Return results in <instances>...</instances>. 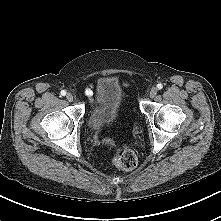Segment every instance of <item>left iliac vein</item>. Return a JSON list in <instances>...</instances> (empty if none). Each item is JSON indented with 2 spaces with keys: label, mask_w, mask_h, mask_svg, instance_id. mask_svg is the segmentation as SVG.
<instances>
[{
  "label": "left iliac vein",
  "mask_w": 221,
  "mask_h": 221,
  "mask_svg": "<svg viewBox=\"0 0 221 221\" xmlns=\"http://www.w3.org/2000/svg\"><path fill=\"white\" fill-rule=\"evenodd\" d=\"M156 94H157V88H156V87H152V88L150 89V91H149V96H150L151 98H154V97L156 96Z\"/></svg>",
  "instance_id": "1"
}]
</instances>
